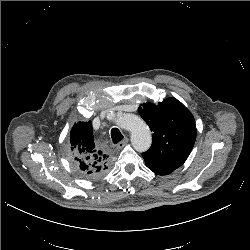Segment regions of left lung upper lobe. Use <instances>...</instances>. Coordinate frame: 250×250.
Returning a JSON list of instances; mask_svg holds the SVG:
<instances>
[{"label": "left lung upper lobe", "instance_id": "5c2ea615", "mask_svg": "<svg viewBox=\"0 0 250 250\" xmlns=\"http://www.w3.org/2000/svg\"><path fill=\"white\" fill-rule=\"evenodd\" d=\"M139 114L153 132L150 149L142 156L152 171L169 174L189 156L196 139V125L191 112L177 99H164L157 105L142 104Z\"/></svg>", "mask_w": 250, "mask_h": 250}]
</instances>
